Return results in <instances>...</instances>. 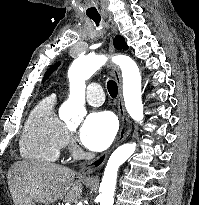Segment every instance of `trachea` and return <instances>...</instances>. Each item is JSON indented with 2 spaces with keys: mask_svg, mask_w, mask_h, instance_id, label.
<instances>
[{
  "mask_svg": "<svg viewBox=\"0 0 199 205\" xmlns=\"http://www.w3.org/2000/svg\"><path fill=\"white\" fill-rule=\"evenodd\" d=\"M97 26H99L101 18L100 17H91ZM107 89L112 98H115L118 94V86L115 81L109 80L107 83Z\"/></svg>",
  "mask_w": 199,
  "mask_h": 205,
  "instance_id": "3493384b",
  "label": "trachea"
}]
</instances>
